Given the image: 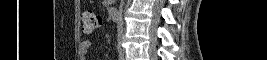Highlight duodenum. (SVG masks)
<instances>
[{
    "instance_id": "1",
    "label": "duodenum",
    "mask_w": 267,
    "mask_h": 60,
    "mask_svg": "<svg viewBox=\"0 0 267 60\" xmlns=\"http://www.w3.org/2000/svg\"><path fill=\"white\" fill-rule=\"evenodd\" d=\"M109 15L112 19H117L118 18V15H119V10H118V7L116 6H111L109 8Z\"/></svg>"
}]
</instances>
